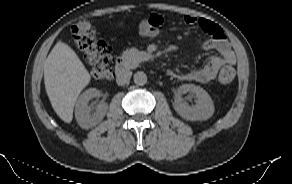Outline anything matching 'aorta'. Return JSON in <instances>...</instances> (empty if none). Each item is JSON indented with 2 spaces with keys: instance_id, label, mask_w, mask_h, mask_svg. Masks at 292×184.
Returning a JSON list of instances; mask_svg holds the SVG:
<instances>
[{
  "instance_id": "1",
  "label": "aorta",
  "mask_w": 292,
  "mask_h": 184,
  "mask_svg": "<svg viewBox=\"0 0 292 184\" xmlns=\"http://www.w3.org/2000/svg\"><path fill=\"white\" fill-rule=\"evenodd\" d=\"M136 85H144L147 83V75L143 71H138L133 76Z\"/></svg>"
}]
</instances>
